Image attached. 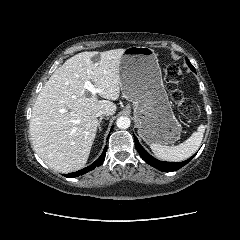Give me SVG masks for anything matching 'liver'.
<instances>
[{"mask_svg": "<svg viewBox=\"0 0 240 240\" xmlns=\"http://www.w3.org/2000/svg\"><path fill=\"white\" fill-rule=\"evenodd\" d=\"M125 49L81 52L55 70L32 109L30 136L35 152L51 169L62 173L83 168L93 145L97 112L117 109L110 100L120 96V61ZM93 57H98L94 62ZM101 89L89 95L85 82Z\"/></svg>", "mask_w": 240, "mask_h": 240, "instance_id": "6515ba94", "label": "liver"}]
</instances>
